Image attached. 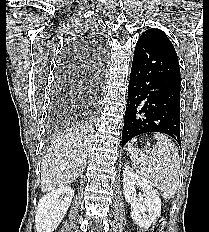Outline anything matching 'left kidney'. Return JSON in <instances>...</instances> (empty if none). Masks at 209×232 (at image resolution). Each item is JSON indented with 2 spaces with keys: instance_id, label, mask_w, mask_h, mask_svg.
Wrapping results in <instances>:
<instances>
[{
  "instance_id": "left-kidney-1",
  "label": "left kidney",
  "mask_w": 209,
  "mask_h": 232,
  "mask_svg": "<svg viewBox=\"0 0 209 232\" xmlns=\"http://www.w3.org/2000/svg\"><path fill=\"white\" fill-rule=\"evenodd\" d=\"M123 189L125 199L131 205L133 221L140 228L148 229L161 214V199L157 190L127 165L123 168Z\"/></svg>"
}]
</instances>
